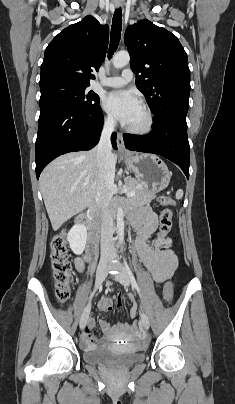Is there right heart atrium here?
<instances>
[{"label": "right heart atrium", "mask_w": 235, "mask_h": 404, "mask_svg": "<svg viewBox=\"0 0 235 404\" xmlns=\"http://www.w3.org/2000/svg\"><path fill=\"white\" fill-rule=\"evenodd\" d=\"M103 122L107 127H113L115 124L113 117L109 114L104 115Z\"/></svg>", "instance_id": "obj_1"}]
</instances>
